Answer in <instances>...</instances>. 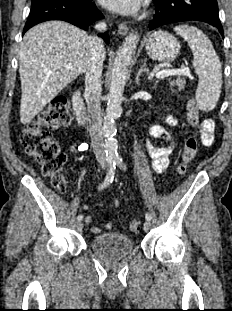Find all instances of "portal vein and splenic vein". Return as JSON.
I'll return each instance as SVG.
<instances>
[{"label":"portal vein and splenic vein","mask_w":232,"mask_h":311,"mask_svg":"<svg viewBox=\"0 0 232 311\" xmlns=\"http://www.w3.org/2000/svg\"><path fill=\"white\" fill-rule=\"evenodd\" d=\"M66 69L70 70L72 69V65L71 64H68L66 65ZM172 75H187L189 76L191 79H193L191 76H190V71L188 68H181V69H165V70H162V71H159L156 73V78H165V77H168V76H172Z\"/></svg>","instance_id":"portal-vein-and-splenic-vein-1"}]
</instances>
